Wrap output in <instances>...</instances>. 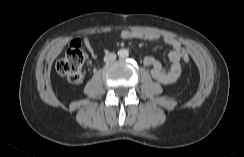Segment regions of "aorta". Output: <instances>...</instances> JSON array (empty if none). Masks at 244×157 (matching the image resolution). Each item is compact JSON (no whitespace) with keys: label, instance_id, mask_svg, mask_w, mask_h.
Wrapping results in <instances>:
<instances>
[{"label":"aorta","instance_id":"1","mask_svg":"<svg viewBox=\"0 0 244 157\" xmlns=\"http://www.w3.org/2000/svg\"><path fill=\"white\" fill-rule=\"evenodd\" d=\"M118 55L121 59L127 58L129 56V51L127 49H120Z\"/></svg>","mask_w":244,"mask_h":157}]
</instances>
